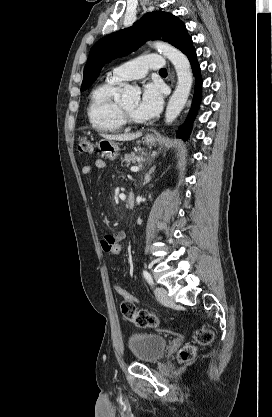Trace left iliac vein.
I'll return each mask as SVG.
<instances>
[{
  "instance_id": "left-iliac-vein-1",
  "label": "left iliac vein",
  "mask_w": 272,
  "mask_h": 417,
  "mask_svg": "<svg viewBox=\"0 0 272 417\" xmlns=\"http://www.w3.org/2000/svg\"><path fill=\"white\" fill-rule=\"evenodd\" d=\"M154 293H155V295L157 297V300L160 303H162L164 305H168V304L171 303V299H170V297L168 295V291L165 288H163V287H157L154 290Z\"/></svg>"
}]
</instances>
